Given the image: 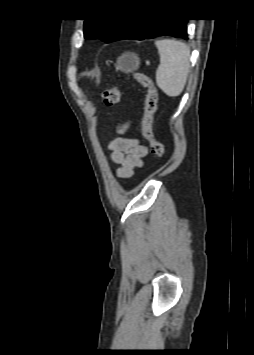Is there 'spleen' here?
Masks as SVG:
<instances>
[{
  "mask_svg": "<svg viewBox=\"0 0 254 355\" xmlns=\"http://www.w3.org/2000/svg\"><path fill=\"white\" fill-rule=\"evenodd\" d=\"M160 56L156 71V84L168 96H179L187 81L190 68V49L180 41L172 39L155 42Z\"/></svg>",
  "mask_w": 254,
  "mask_h": 355,
  "instance_id": "1",
  "label": "spleen"
}]
</instances>
